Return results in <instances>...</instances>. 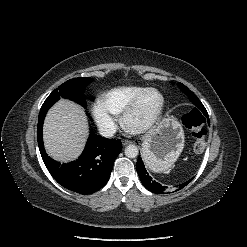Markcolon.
Returning <instances> with one entry per match:
<instances>
[{"label": "colon", "mask_w": 247, "mask_h": 247, "mask_svg": "<svg viewBox=\"0 0 247 247\" xmlns=\"http://www.w3.org/2000/svg\"><path fill=\"white\" fill-rule=\"evenodd\" d=\"M182 122L186 128L192 131L193 148L197 153H201L206 148L205 130L203 128L204 117L198 110H191L182 117Z\"/></svg>", "instance_id": "5ec220e1"}]
</instances>
